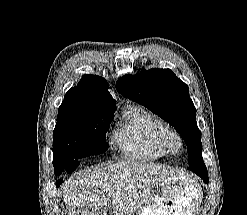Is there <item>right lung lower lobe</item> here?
Here are the masks:
<instances>
[{"label": "right lung lower lobe", "mask_w": 247, "mask_h": 215, "mask_svg": "<svg viewBox=\"0 0 247 215\" xmlns=\"http://www.w3.org/2000/svg\"><path fill=\"white\" fill-rule=\"evenodd\" d=\"M77 163L80 164V161H77ZM57 175H62V173L61 174H57ZM61 182H62L61 180H58L56 182V186L59 187V185H60Z\"/></svg>", "instance_id": "right-lung-lower-lobe-1"}]
</instances>
